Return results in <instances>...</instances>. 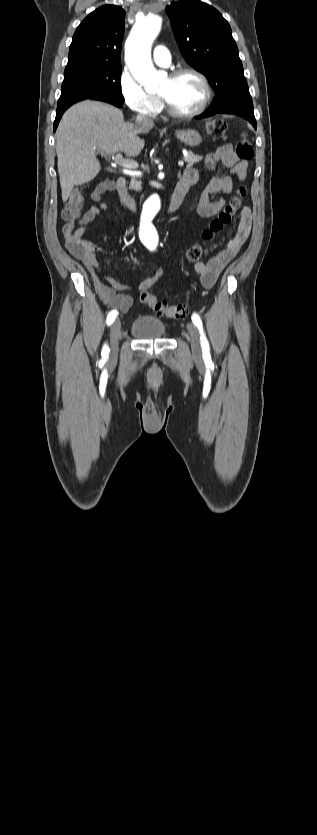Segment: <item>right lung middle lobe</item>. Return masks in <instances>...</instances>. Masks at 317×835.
Here are the masks:
<instances>
[{
    "label": "right lung middle lobe",
    "instance_id": "right-lung-middle-lobe-1",
    "mask_svg": "<svg viewBox=\"0 0 317 835\" xmlns=\"http://www.w3.org/2000/svg\"><path fill=\"white\" fill-rule=\"evenodd\" d=\"M121 69L120 65L110 64L67 65L57 107L103 95L124 101L120 83Z\"/></svg>",
    "mask_w": 317,
    "mask_h": 835
}]
</instances>
